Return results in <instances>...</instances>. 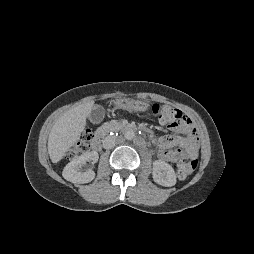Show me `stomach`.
<instances>
[{
    "mask_svg": "<svg viewBox=\"0 0 254 254\" xmlns=\"http://www.w3.org/2000/svg\"><path fill=\"white\" fill-rule=\"evenodd\" d=\"M114 105L116 108L138 111H145L149 107V105L146 102L125 98L117 99L114 102Z\"/></svg>",
    "mask_w": 254,
    "mask_h": 254,
    "instance_id": "obj_1",
    "label": "stomach"
}]
</instances>
